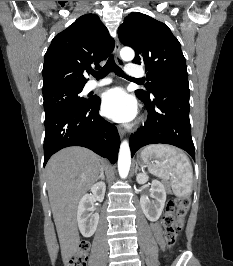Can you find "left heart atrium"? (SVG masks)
I'll return each mask as SVG.
<instances>
[{
    "label": "left heart atrium",
    "mask_w": 233,
    "mask_h": 266,
    "mask_svg": "<svg viewBox=\"0 0 233 266\" xmlns=\"http://www.w3.org/2000/svg\"><path fill=\"white\" fill-rule=\"evenodd\" d=\"M101 108L106 117L116 122H128L137 114L136 102L119 87L109 89L103 94Z\"/></svg>",
    "instance_id": "39dd6f15"
}]
</instances>
